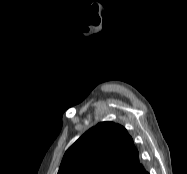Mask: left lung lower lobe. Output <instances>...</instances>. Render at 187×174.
I'll return each instance as SVG.
<instances>
[{"label": "left lung lower lobe", "mask_w": 187, "mask_h": 174, "mask_svg": "<svg viewBox=\"0 0 187 174\" xmlns=\"http://www.w3.org/2000/svg\"><path fill=\"white\" fill-rule=\"evenodd\" d=\"M137 174H149L148 172H146L144 169L141 172H137Z\"/></svg>", "instance_id": "0a47b994"}]
</instances>
